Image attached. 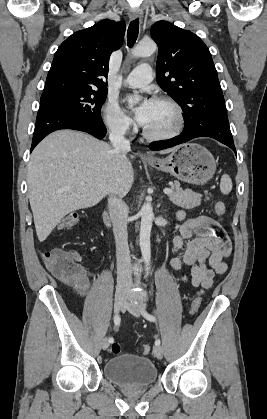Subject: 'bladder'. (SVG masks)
Returning a JSON list of instances; mask_svg holds the SVG:
<instances>
[{"instance_id": "1", "label": "bladder", "mask_w": 267, "mask_h": 419, "mask_svg": "<svg viewBox=\"0 0 267 419\" xmlns=\"http://www.w3.org/2000/svg\"><path fill=\"white\" fill-rule=\"evenodd\" d=\"M109 381L124 387H145L157 379V369L145 356L120 354L109 358L103 367Z\"/></svg>"}]
</instances>
